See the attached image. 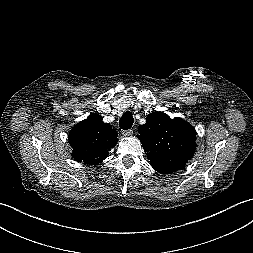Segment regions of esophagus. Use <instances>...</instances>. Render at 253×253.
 <instances>
[{
    "mask_svg": "<svg viewBox=\"0 0 253 253\" xmlns=\"http://www.w3.org/2000/svg\"><path fill=\"white\" fill-rule=\"evenodd\" d=\"M122 134L124 136H131V135H133V129L124 130V131H122Z\"/></svg>",
    "mask_w": 253,
    "mask_h": 253,
    "instance_id": "34e87169",
    "label": "esophagus"
}]
</instances>
